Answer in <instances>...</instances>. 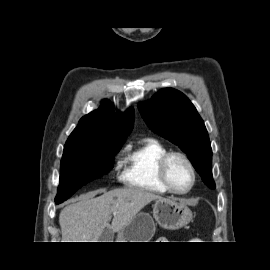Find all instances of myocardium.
Listing matches in <instances>:
<instances>
[{
	"instance_id": "1",
	"label": "myocardium",
	"mask_w": 270,
	"mask_h": 270,
	"mask_svg": "<svg viewBox=\"0 0 270 270\" xmlns=\"http://www.w3.org/2000/svg\"><path fill=\"white\" fill-rule=\"evenodd\" d=\"M176 157L182 159L187 164V166L190 169L191 175H192L191 184L185 190H179V189L175 188L172 185L170 178H169V173H168L169 163L173 158H176ZM158 174H159V178H160L162 184L166 187V189L169 192L177 194V195H184V194L189 193L193 189V187L195 186L196 180H197V173H196V169H195L193 162L185 153L180 152V151L167 152L160 159L159 164H158Z\"/></svg>"
}]
</instances>
